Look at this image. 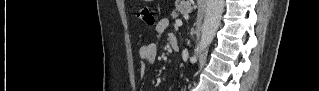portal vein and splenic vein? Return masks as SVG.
Returning <instances> with one entry per match:
<instances>
[{"label": "portal vein and splenic vein", "instance_id": "obj_1", "mask_svg": "<svg viewBox=\"0 0 319 91\" xmlns=\"http://www.w3.org/2000/svg\"><path fill=\"white\" fill-rule=\"evenodd\" d=\"M175 23H176L177 26H182V21L181 20H176Z\"/></svg>", "mask_w": 319, "mask_h": 91}]
</instances>
